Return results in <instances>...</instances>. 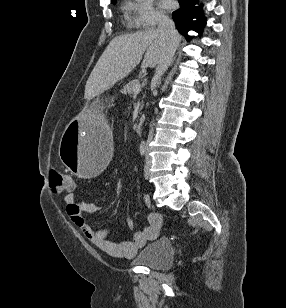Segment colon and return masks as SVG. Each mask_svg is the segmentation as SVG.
<instances>
[{"instance_id": "obj_1", "label": "colon", "mask_w": 286, "mask_h": 308, "mask_svg": "<svg viewBox=\"0 0 286 308\" xmlns=\"http://www.w3.org/2000/svg\"><path fill=\"white\" fill-rule=\"evenodd\" d=\"M50 186L57 193L72 192L74 177L69 173L53 170L50 173Z\"/></svg>"}]
</instances>
